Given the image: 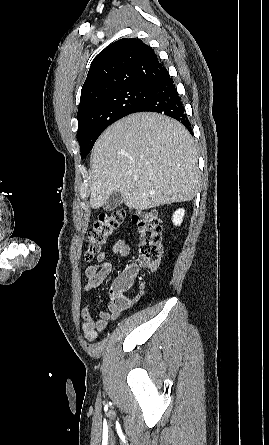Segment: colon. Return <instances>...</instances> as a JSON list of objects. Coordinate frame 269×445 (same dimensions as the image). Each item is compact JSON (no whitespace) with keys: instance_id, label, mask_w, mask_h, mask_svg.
Listing matches in <instances>:
<instances>
[{"instance_id":"5ec220e1","label":"colon","mask_w":269,"mask_h":445,"mask_svg":"<svg viewBox=\"0 0 269 445\" xmlns=\"http://www.w3.org/2000/svg\"><path fill=\"white\" fill-rule=\"evenodd\" d=\"M125 216L124 210L99 215L86 238L84 258L87 262H91L101 253ZM133 220L137 225L138 266L153 269L159 264L162 253L161 226L157 213L154 210L139 211L133 215ZM134 278L132 274L123 272L113 282L111 289L117 294L118 302H123L121 295L132 286Z\"/></svg>"}]
</instances>
